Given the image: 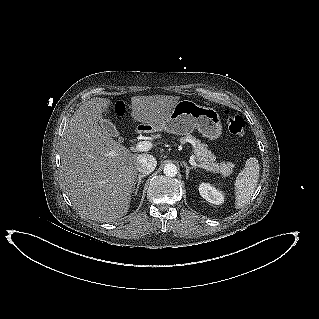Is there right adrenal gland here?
Returning a JSON list of instances; mask_svg holds the SVG:
<instances>
[{
	"mask_svg": "<svg viewBox=\"0 0 319 319\" xmlns=\"http://www.w3.org/2000/svg\"><path fill=\"white\" fill-rule=\"evenodd\" d=\"M144 177H146V174H139L138 175V179H137V181H136V183H135V185H134V187H133V191H134V195H137V193H138V190H139V186H140V184H141V182H142V178H144Z\"/></svg>",
	"mask_w": 319,
	"mask_h": 319,
	"instance_id": "right-adrenal-gland-1",
	"label": "right adrenal gland"
}]
</instances>
